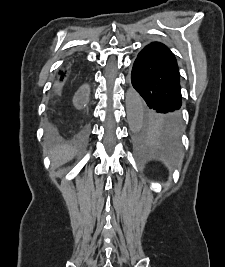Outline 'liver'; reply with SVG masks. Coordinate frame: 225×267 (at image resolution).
Wrapping results in <instances>:
<instances>
[{
  "instance_id": "liver-1",
  "label": "liver",
  "mask_w": 225,
  "mask_h": 267,
  "mask_svg": "<svg viewBox=\"0 0 225 267\" xmlns=\"http://www.w3.org/2000/svg\"><path fill=\"white\" fill-rule=\"evenodd\" d=\"M49 154L52 159V167L57 168L72 160L76 151L71 146L58 145Z\"/></svg>"
}]
</instances>
